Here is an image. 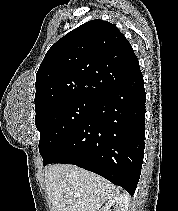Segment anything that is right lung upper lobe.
Instances as JSON below:
<instances>
[{"label": "right lung upper lobe", "instance_id": "cb5924a9", "mask_svg": "<svg viewBox=\"0 0 178 211\" xmlns=\"http://www.w3.org/2000/svg\"><path fill=\"white\" fill-rule=\"evenodd\" d=\"M138 72V59L119 29L89 21L46 53L36 74L35 110L73 98L97 99Z\"/></svg>", "mask_w": 178, "mask_h": 211}]
</instances>
